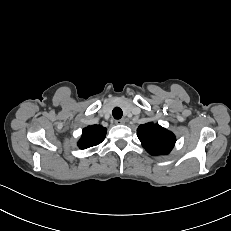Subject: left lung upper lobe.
Masks as SVG:
<instances>
[{
	"instance_id": "5c2ea615",
	"label": "left lung upper lobe",
	"mask_w": 231,
	"mask_h": 231,
	"mask_svg": "<svg viewBox=\"0 0 231 231\" xmlns=\"http://www.w3.org/2000/svg\"><path fill=\"white\" fill-rule=\"evenodd\" d=\"M137 136L151 155L169 154L176 142L172 132L153 122L140 125L137 129Z\"/></svg>"
}]
</instances>
